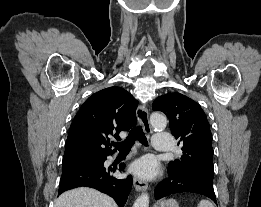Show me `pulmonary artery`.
<instances>
[{
  "instance_id": "pulmonary-artery-1",
  "label": "pulmonary artery",
  "mask_w": 261,
  "mask_h": 207,
  "mask_svg": "<svg viewBox=\"0 0 261 207\" xmlns=\"http://www.w3.org/2000/svg\"><path fill=\"white\" fill-rule=\"evenodd\" d=\"M153 147L158 151H168L171 148V136L166 132H158L153 137Z\"/></svg>"
}]
</instances>
